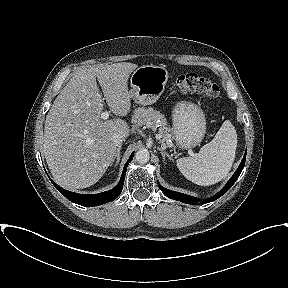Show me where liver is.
<instances>
[{
  "mask_svg": "<svg viewBox=\"0 0 288 288\" xmlns=\"http://www.w3.org/2000/svg\"><path fill=\"white\" fill-rule=\"evenodd\" d=\"M136 68V64L122 62L80 70L56 97L46 116L43 154L60 186L90 187L113 162L118 147L114 136L128 137L130 129L122 119L101 118L103 100L115 115L126 116L131 107L127 81Z\"/></svg>",
  "mask_w": 288,
  "mask_h": 288,
  "instance_id": "obj_1",
  "label": "liver"
}]
</instances>
